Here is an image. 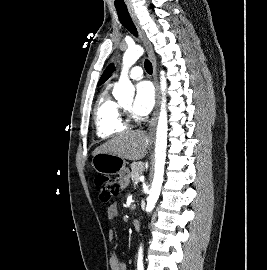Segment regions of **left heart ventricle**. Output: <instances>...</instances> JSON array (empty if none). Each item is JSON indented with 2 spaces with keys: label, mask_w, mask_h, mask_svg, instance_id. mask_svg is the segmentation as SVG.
<instances>
[{
  "label": "left heart ventricle",
  "mask_w": 267,
  "mask_h": 270,
  "mask_svg": "<svg viewBox=\"0 0 267 270\" xmlns=\"http://www.w3.org/2000/svg\"><path fill=\"white\" fill-rule=\"evenodd\" d=\"M124 106L127 107V108H129L130 107V102L125 103Z\"/></svg>",
  "instance_id": "1"
}]
</instances>
